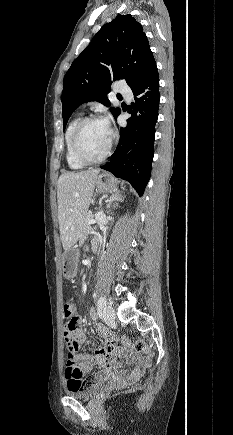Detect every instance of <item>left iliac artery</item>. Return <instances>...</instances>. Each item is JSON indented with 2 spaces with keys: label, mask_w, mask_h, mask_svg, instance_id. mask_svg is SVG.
<instances>
[{
  "label": "left iliac artery",
  "mask_w": 233,
  "mask_h": 435,
  "mask_svg": "<svg viewBox=\"0 0 233 435\" xmlns=\"http://www.w3.org/2000/svg\"><path fill=\"white\" fill-rule=\"evenodd\" d=\"M98 307L102 308L104 305H106V299L105 297H100L97 301Z\"/></svg>",
  "instance_id": "left-iliac-artery-1"
}]
</instances>
